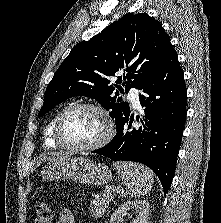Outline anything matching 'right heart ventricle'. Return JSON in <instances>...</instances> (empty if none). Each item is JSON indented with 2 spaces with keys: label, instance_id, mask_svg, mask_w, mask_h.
Returning <instances> with one entry per match:
<instances>
[{
  "label": "right heart ventricle",
  "instance_id": "right-heart-ventricle-1",
  "mask_svg": "<svg viewBox=\"0 0 221 223\" xmlns=\"http://www.w3.org/2000/svg\"><path fill=\"white\" fill-rule=\"evenodd\" d=\"M60 111H57L53 117L49 120L48 124L46 125L43 133L44 137V145L48 148H57L59 145L53 139V128L57 119L58 114Z\"/></svg>",
  "mask_w": 221,
  "mask_h": 223
}]
</instances>
